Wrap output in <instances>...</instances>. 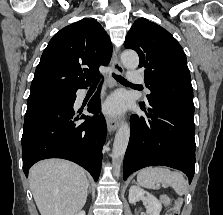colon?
Instances as JSON below:
<instances>
[{"mask_svg": "<svg viewBox=\"0 0 223 215\" xmlns=\"http://www.w3.org/2000/svg\"><path fill=\"white\" fill-rule=\"evenodd\" d=\"M182 206V199H177L175 204L167 211L166 215H179Z\"/></svg>", "mask_w": 223, "mask_h": 215, "instance_id": "5ec220e1", "label": "colon"}]
</instances>
